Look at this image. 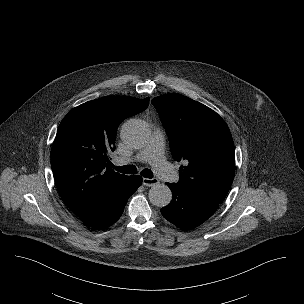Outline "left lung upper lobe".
Segmentation results:
<instances>
[{
	"mask_svg": "<svg viewBox=\"0 0 304 304\" xmlns=\"http://www.w3.org/2000/svg\"><path fill=\"white\" fill-rule=\"evenodd\" d=\"M152 104L166 129L174 160H186L177 184L221 204L232 185L235 149L224 120L212 109L180 94L155 97Z\"/></svg>",
	"mask_w": 304,
	"mask_h": 304,
	"instance_id": "left-lung-upper-lobe-1",
	"label": "left lung upper lobe"
}]
</instances>
